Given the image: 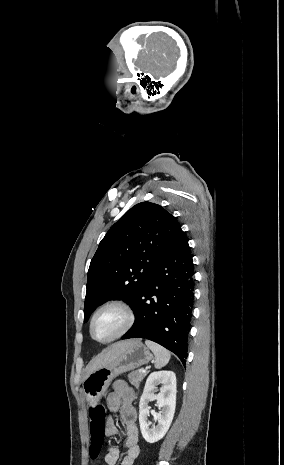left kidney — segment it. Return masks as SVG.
Instances as JSON below:
<instances>
[{
    "label": "left kidney",
    "mask_w": 284,
    "mask_h": 465,
    "mask_svg": "<svg viewBox=\"0 0 284 465\" xmlns=\"http://www.w3.org/2000/svg\"><path fill=\"white\" fill-rule=\"evenodd\" d=\"M157 385H162L159 395H154ZM176 377L173 371H158L149 375L139 403V423L143 439L147 443H157L165 437L174 417L176 407ZM157 401L160 409L158 425L150 429L148 419L150 415L149 403Z\"/></svg>",
    "instance_id": "1"
}]
</instances>
